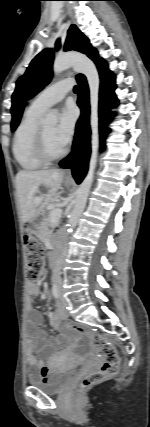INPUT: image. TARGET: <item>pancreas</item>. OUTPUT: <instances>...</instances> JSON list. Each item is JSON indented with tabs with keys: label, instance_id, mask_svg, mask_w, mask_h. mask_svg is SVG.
<instances>
[{
	"label": "pancreas",
	"instance_id": "1",
	"mask_svg": "<svg viewBox=\"0 0 150 427\" xmlns=\"http://www.w3.org/2000/svg\"><path fill=\"white\" fill-rule=\"evenodd\" d=\"M50 223V220L47 219L44 223L41 224V226L39 227L38 230V237L40 238V240L44 241L46 238L50 237V238H55L54 235H52V229H49L47 227V225ZM58 223H54V225L56 226Z\"/></svg>",
	"mask_w": 150,
	"mask_h": 427
}]
</instances>
